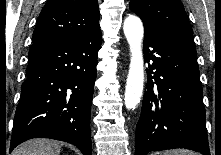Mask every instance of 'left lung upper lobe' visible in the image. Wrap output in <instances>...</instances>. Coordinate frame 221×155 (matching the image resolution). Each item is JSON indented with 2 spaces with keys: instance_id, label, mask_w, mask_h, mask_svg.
I'll return each instance as SVG.
<instances>
[{
  "instance_id": "left-lung-upper-lobe-1",
  "label": "left lung upper lobe",
  "mask_w": 221,
  "mask_h": 155,
  "mask_svg": "<svg viewBox=\"0 0 221 155\" xmlns=\"http://www.w3.org/2000/svg\"><path fill=\"white\" fill-rule=\"evenodd\" d=\"M130 10L141 18L144 29L195 48L192 28L180 0H131Z\"/></svg>"
}]
</instances>
